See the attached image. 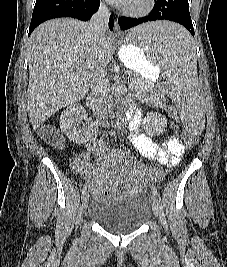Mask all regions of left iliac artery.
Segmentation results:
<instances>
[{
  "label": "left iliac artery",
  "mask_w": 227,
  "mask_h": 267,
  "mask_svg": "<svg viewBox=\"0 0 227 267\" xmlns=\"http://www.w3.org/2000/svg\"><path fill=\"white\" fill-rule=\"evenodd\" d=\"M151 190H152V193L157 196L158 193H157V189L154 187V186H151Z\"/></svg>",
  "instance_id": "left-iliac-artery-1"
}]
</instances>
